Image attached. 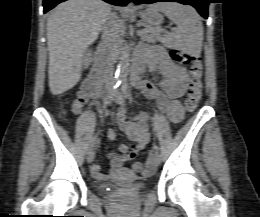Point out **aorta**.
Listing matches in <instances>:
<instances>
[{
  "label": "aorta",
  "instance_id": "1",
  "mask_svg": "<svg viewBox=\"0 0 260 217\" xmlns=\"http://www.w3.org/2000/svg\"><path fill=\"white\" fill-rule=\"evenodd\" d=\"M130 48L129 45L126 43L123 47L121 56H120V62L117 69L118 74V81L122 82L126 75L129 68V60H130Z\"/></svg>",
  "mask_w": 260,
  "mask_h": 217
}]
</instances>
